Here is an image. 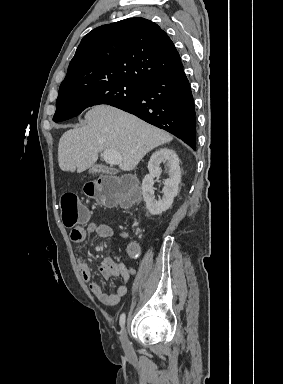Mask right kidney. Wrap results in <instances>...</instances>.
<instances>
[{
    "instance_id": "right-kidney-1",
    "label": "right kidney",
    "mask_w": 283,
    "mask_h": 384,
    "mask_svg": "<svg viewBox=\"0 0 283 384\" xmlns=\"http://www.w3.org/2000/svg\"><path fill=\"white\" fill-rule=\"evenodd\" d=\"M160 164H165L169 168V178L164 182L163 198L155 200L154 196V178L161 176ZM149 174L145 176L142 182V194L146 208L152 216H160L162 212L169 210L173 204L175 196L178 194V186L181 180L179 160L174 150L160 148L155 154H152L148 164Z\"/></svg>"
}]
</instances>
